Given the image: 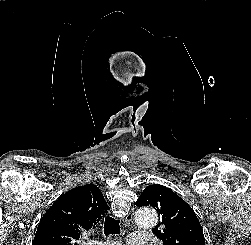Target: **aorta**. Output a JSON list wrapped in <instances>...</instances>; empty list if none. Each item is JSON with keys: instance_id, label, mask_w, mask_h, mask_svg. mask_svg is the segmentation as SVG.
Segmentation results:
<instances>
[{"instance_id": "obj_1", "label": "aorta", "mask_w": 251, "mask_h": 245, "mask_svg": "<svg viewBox=\"0 0 251 245\" xmlns=\"http://www.w3.org/2000/svg\"><path fill=\"white\" fill-rule=\"evenodd\" d=\"M158 222V216L154 209L150 207L139 208L136 212V223L141 228L154 227Z\"/></svg>"}]
</instances>
